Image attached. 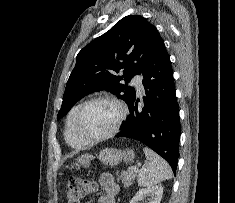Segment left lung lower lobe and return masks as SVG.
Instances as JSON below:
<instances>
[{
    "label": "left lung lower lobe",
    "mask_w": 235,
    "mask_h": 203,
    "mask_svg": "<svg viewBox=\"0 0 235 203\" xmlns=\"http://www.w3.org/2000/svg\"><path fill=\"white\" fill-rule=\"evenodd\" d=\"M146 92L144 107L135 97L128 105L130 115L116 137L143 142L162 156L176 174L179 155L180 118L169 55L161 38L142 72Z\"/></svg>",
    "instance_id": "obj_1"
}]
</instances>
